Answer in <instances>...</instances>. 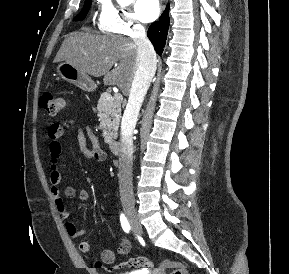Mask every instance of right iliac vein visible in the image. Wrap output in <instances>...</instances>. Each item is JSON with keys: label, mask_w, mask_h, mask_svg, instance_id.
Returning a JSON list of instances; mask_svg holds the SVG:
<instances>
[{"label": "right iliac vein", "mask_w": 289, "mask_h": 274, "mask_svg": "<svg viewBox=\"0 0 289 274\" xmlns=\"http://www.w3.org/2000/svg\"><path fill=\"white\" fill-rule=\"evenodd\" d=\"M123 207L125 214L129 220V223L131 225L132 230L135 234L141 235L142 234V227L140 225L138 216L136 214V211L131 203V201L127 198L122 199Z\"/></svg>", "instance_id": "obj_1"}]
</instances>
